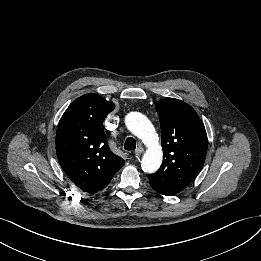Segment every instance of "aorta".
<instances>
[{
	"mask_svg": "<svg viewBox=\"0 0 261 261\" xmlns=\"http://www.w3.org/2000/svg\"><path fill=\"white\" fill-rule=\"evenodd\" d=\"M127 128L147 146L141 162L143 171L148 173L156 172L163 160V151L158 142L155 128L150 120L139 112H131L126 116Z\"/></svg>",
	"mask_w": 261,
	"mask_h": 261,
	"instance_id": "1",
	"label": "aorta"
}]
</instances>
